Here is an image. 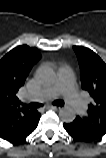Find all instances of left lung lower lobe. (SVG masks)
I'll use <instances>...</instances> for the list:
<instances>
[{"label":"left lung lower lobe","instance_id":"1","mask_svg":"<svg viewBox=\"0 0 106 158\" xmlns=\"http://www.w3.org/2000/svg\"><path fill=\"white\" fill-rule=\"evenodd\" d=\"M65 129L68 133L71 135L78 137V138H85V139H91L87 134L82 132L75 124H65Z\"/></svg>","mask_w":106,"mask_h":158}]
</instances>
